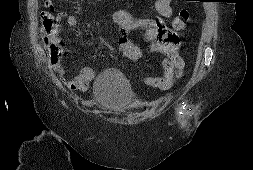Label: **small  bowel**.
I'll return each instance as SVG.
<instances>
[{"label":"small bowel","instance_id":"obj_1","mask_svg":"<svg viewBox=\"0 0 253 170\" xmlns=\"http://www.w3.org/2000/svg\"><path fill=\"white\" fill-rule=\"evenodd\" d=\"M172 2L173 0L155 1V9L160 17H170L172 15ZM45 7L49 10H53V2L51 0H46ZM111 18L120 30V38L118 40L119 49L128 59L137 61L143 57V51L128 39V34L134 30H142L144 32L146 41L150 43V51L163 55L161 63L164 74L162 77H146L145 82L148 85L153 86L150 82L154 81L158 86L153 87L168 89L177 78L182 76L185 63L179 55L181 42L177 35L168 29L161 18H136L122 9L114 10L111 14ZM64 19H66L70 27H77L78 18L75 15H67L66 12L60 11L55 17L52 36L57 37ZM178 22H180L179 16L172 22V28L175 31L182 30L186 23L184 22L182 27H177L176 24ZM75 33L77 36L83 35V32L79 29H76ZM53 69L62 77L69 89L82 92L88 89L90 81L93 80L96 75L92 68L82 66L73 78L68 79L65 77L66 70L61 63H53Z\"/></svg>","mask_w":253,"mask_h":170}]
</instances>
